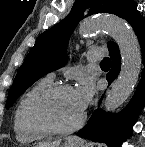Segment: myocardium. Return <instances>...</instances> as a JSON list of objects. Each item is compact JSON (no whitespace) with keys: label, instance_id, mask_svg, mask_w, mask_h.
<instances>
[{"label":"myocardium","instance_id":"f54148a6","mask_svg":"<svg viewBox=\"0 0 145 147\" xmlns=\"http://www.w3.org/2000/svg\"><path fill=\"white\" fill-rule=\"evenodd\" d=\"M72 90L68 84H56L35 95L27 110L30 122L42 127L51 134L66 135L79 129L85 122L86 113L83 111L79 120L70 126H60L49 113V103L65 91Z\"/></svg>","mask_w":145,"mask_h":147}]
</instances>
